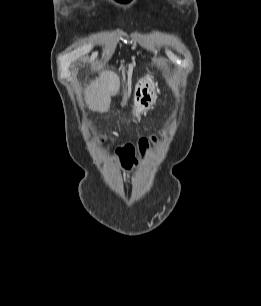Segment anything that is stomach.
Returning <instances> with one entry per match:
<instances>
[{
	"instance_id": "stomach-1",
	"label": "stomach",
	"mask_w": 261,
	"mask_h": 306,
	"mask_svg": "<svg viewBox=\"0 0 261 306\" xmlns=\"http://www.w3.org/2000/svg\"><path fill=\"white\" fill-rule=\"evenodd\" d=\"M157 85L153 82H145L139 85V90L134 96V109L133 114L139 117L140 113L146 111L151 107L156 99V89Z\"/></svg>"
}]
</instances>
